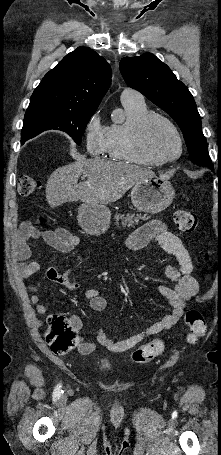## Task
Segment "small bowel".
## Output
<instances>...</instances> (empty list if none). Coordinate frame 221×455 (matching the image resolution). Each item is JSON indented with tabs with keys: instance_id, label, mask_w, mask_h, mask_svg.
Masks as SVG:
<instances>
[{
	"instance_id": "obj_1",
	"label": "small bowel",
	"mask_w": 221,
	"mask_h": 455,
	"mask_svg": "<svg viewBox=\"0 0 221 455\" xmlns=\"http://www.w3.org/2000/svg\"><path fill=\"white\" fill-rule=\"evenodd\" d=\"M38 238L43 239L50 247L62 253L73 251L80 242V239L76 235L65 228L58 227L55 229L40 230L31 223H23L19 228V240L16 245L20 274L23 279L29 278L41 268L38 262H27V259L30 257L27 242L29 239ZM151 242L158 244L178 261V266L172 264L164 266V274L174 283V286H158L159 292L168 300L171 310L143 332L123 340L112 339L107 336L104 328H99L96 334L97 341L109 351H127L146 338L170 329L183 317L186 303L198 293L199 284L192 276L194 268L192 258L180 238L169 231L163 223L153 221L139 228L129 236L125 247L128 250H138ZM45 274L50 281L60 284L70 291L76 290L79 286L78 283L72 280L70 270L59 273L54 267H48ZM31 290L36 291L37 288L32 286ZM84 297L89 299L90 306L95 312L105 310L107 303L100 290L88 289L84 292ZM31 302L39 314H46L48 312V308L42 303L40 295L33 294L31 296ZM70 320L76 330L82 328V321L79 317L72 316ZM94 349L95 345L91 342L81 341L78 346L81 354H90Z\"/></svg>"
}]
</instances>
